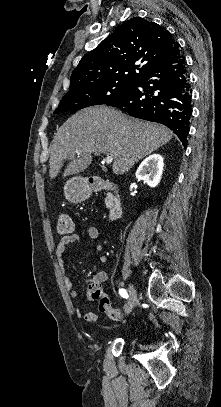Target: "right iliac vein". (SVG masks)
<instances>
[{"instance_id":"obj_1","label":"right iliac vein","mask_w":221,"mask_h":407,"mask_svg":"<svg viewBox=\"0 0 221 407\" xmlns=\"http://www.w3.org/2000/svg\"><path fill=\"white\" fill-rule=\"evenodd\" d=\"M129 293H130V300H129V304H128L127 308L125 309V312L127 314H129L132 311V309L136 306V304L138 302L137 291L131 283H129Z\"/></svg>"}]
</instances>
